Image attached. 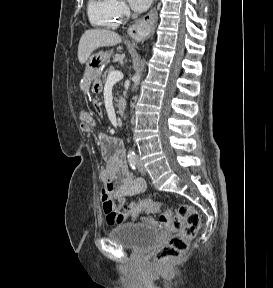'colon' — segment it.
I'll return each mask as SVG.
<instances>
[{
	"mask_svg": "<svg viewBox=\"0 0 273 288\" xmlns=\"http://www.w3.org/2000/svg\"><path fill=\"white\" fill-rule=\"evenodd\" d=\"M96 110H99L98 106H96ZM162 207L161 202L150 199L126 206V210L132 215L140 212L159 214L160 223L175 232L155 254V260L160 264L182 257L188 249L189 242L196 236L201 224L199 213L191 205L182 204L175 212L170 209L162 210Z\"/></svg>",
	"mask_w": 273,
	"mask_h": 288,
	"instance_id": "1",
	"label": "colon"
}]
</instances>
